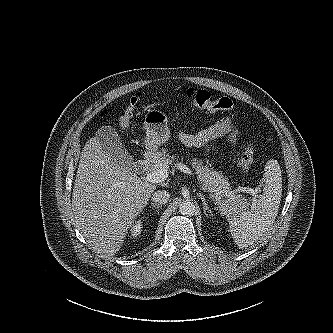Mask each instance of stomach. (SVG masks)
<instances>
[{
  "instance_id": "stomach-1",
  "label": "stomach",
  "mask_w": 333,
  "mask_h": 333,
  "mask_svg": "<svg viewBox=\"0 0 333 333\" xmlns=\"http://www.w3.org/2000/svg\"><path fill=\"white\" fill-rule=\"evenodd\" d=\"M167 123V116L159 110H149L145 115V147L148 155H154L158 148L169 140L170 130Z\"/></svg>"
}]
</instances>
